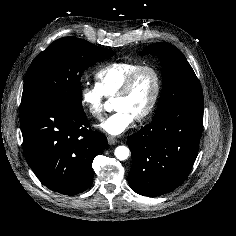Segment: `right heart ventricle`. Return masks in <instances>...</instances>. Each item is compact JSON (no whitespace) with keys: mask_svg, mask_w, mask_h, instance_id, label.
I'll return each mask as SVG.
<instances>
[{"mask_svg":"<svg viewBox=\"0 0 236 236\" xmlns=\"http://www.w3.org/2000/svg\"><path fill=\"white\" fill-rule=\"evenodd\" d=\"M140 65L138 61H116L99 69L95 78L97 86L106 98H113L127 77Z\"/></svg>","mask_w":236,"mask_h":236,"instance_id":"e07e8e85","label":"right heart ventricle"}]
</instances>
